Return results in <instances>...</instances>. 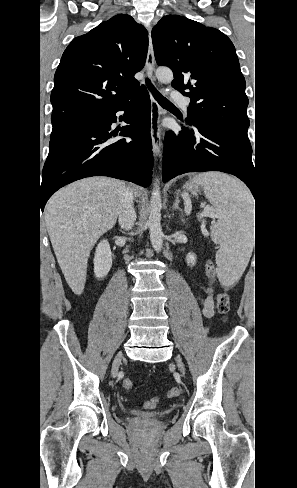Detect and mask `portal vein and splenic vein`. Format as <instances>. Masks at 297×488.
<instances>
[{
    "label": "portal vein and splenic vein",
    "instance_id": "1",
    "mask_svg": "<svg viewBox=\"0 0 297 488\" xmlns=\"http://www.w3.org/2000/svg\"><path fill=\"white\" fill-rule=\"evenodd\" d=\"M190 211H191V207L188 205L186 207V209H185V212H186L187 215H189L190 214ZM210 211H211V208L209 206H205L204 207V214L205 215H208L209 214L210 216H213Z\"/></svg>",
    "mask_w": 297,
    "mask_h": 488
}]
</instances>
